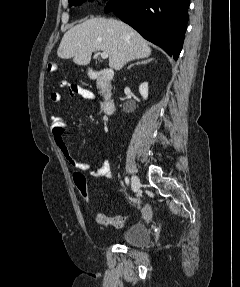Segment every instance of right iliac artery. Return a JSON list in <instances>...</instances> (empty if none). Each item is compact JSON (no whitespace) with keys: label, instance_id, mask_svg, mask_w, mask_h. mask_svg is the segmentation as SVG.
I'll return each instance as SVG.
<instances>
[{"label":"right iliac artery","instance_id":"obj_1","mask_svg":"<svg viewBox=\"0 0 240 287\" xmlns=\"http://www.w3.org/2000/svg\"><path fill=\"white\" fill-rule=\"evenodd\" d=\"M125 183H126L127 185H129V178H128V177L125 178Z\"/></svg>","mask_w":240,"mask_h":287}]
</instances>
